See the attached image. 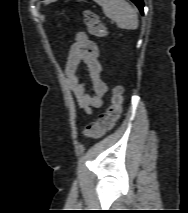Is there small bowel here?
Here are the masks:
<instances>
[{"instance_id":"c3829d8e","label":"small bowel","mask_w":188,"mask_h":213,"mask_svg":"<svg viewBox=\"0 0 188 213\" xmlns=\"http://www.w3.org/2000/svg\"><path fill=\"white\" fill-rule=\"evenodd\" d=\"M81 64L87 67L90 78V87L81 82L78 69ZM67 84L73 92L79 107L83 108L88 115L94 109L100 108L107 92V84L102 77V66L99 61V48L90 40L85 32H79L70 47L65 65Z\"/></svg>"}]
</instances>
